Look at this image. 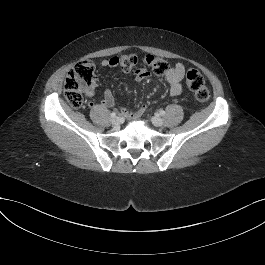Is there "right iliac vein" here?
<instances>
[{"label":"right iliac vein","mask_w":265,"mask_h":265,"mask_svg":"<svg viewBox=\"0 0 265 265\" xmlns=\"http://www.w3.org/2000/svg\"><path fill=\"white\" fill-rule=\"evenodd\" d=\"M111 123L114 127H118L121 123V119L119 117H116L111 121Z\"/></svg>","instance_id":"obj_1"}]
</instances>
